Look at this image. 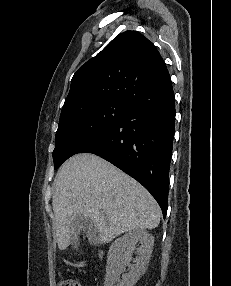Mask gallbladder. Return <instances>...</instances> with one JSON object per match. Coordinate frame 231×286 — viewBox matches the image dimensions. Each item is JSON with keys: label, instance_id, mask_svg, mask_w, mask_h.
Here are the masks:
<instances>
[{"label": "gallbladder", "instance_id": "1", "mask_svg": "<svg viewBox=\"0 0 231 286\" xmlns=\"http://www.w3.org/2000/svg\"><path fill=\"white\" fill-rule=\"evenodd\" d=\"M70 228H73V233L77 234L78 230H83L84 232H88L86 234H95V230H97L96 225L92 221L91 217H88L86 213H76L74 215V219L72 223H70ZM80 237V236H75ZM74 244H81L79 241H72Z\"/></svg>", "mask_w": 231, "mask_h": 286}]
</instances>
